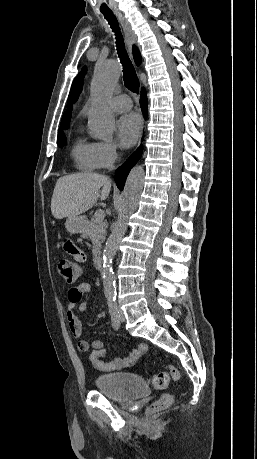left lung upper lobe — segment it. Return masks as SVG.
<instances>
[{"mask_svg":"<svg viewBox=\"0 0 257 459\" xmlns=\"http://www.w3.org/2000/svg\"><path fill=\"white\" fill-rule=\"evenodd\" d=\"M86 74V67H83L81 72L76 76L72 83L71 91L69 94V101L75 102L82 90L83 78Z\"/></svg>","mask_w":257,"mask_h":459,"instance_id":"1","label":"left lung upper lobe"}]
</instances>
